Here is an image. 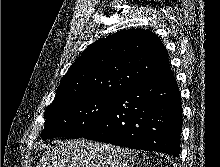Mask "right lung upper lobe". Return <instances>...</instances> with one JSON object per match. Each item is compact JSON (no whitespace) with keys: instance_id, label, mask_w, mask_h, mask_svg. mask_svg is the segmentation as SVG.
Segmentation results:
<instances>
[{"instance_id":"cb5924a9","label":"right lung upper lobe","mask_w":220,"mask_h":167,"mask_svg":"<svg viewBox=\"0 0 220 167\" xmlns=\"http://www.w3.org/2000/svg\"><path fill=\"white\" fill-rule=\"evenodd\" d=\"M171 74L167 51L151 31L128 29L88 46L60 81L55 99L117 95Z\"/></svg>"}]
</instances>
